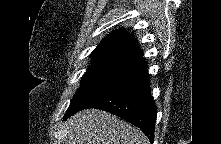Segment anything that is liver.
Wrapping results in <instances>:
<instances>
[{
    "label": "liver",
    "mask_w": 221,
    "mask_h": 144,
    "mask_svg": "<svg viewBox=\"0 0 221 144\" xmlns=\"http://www.w3.org/2000/svg\"><path fill=\"white\" fill-rule=\"evenodd\" d=\"M67 133L65 144H149L141 130L98 109L82 110L70 117Z\"/></svg>",
    "instance_id": "obj_1"
}]
</instances>
